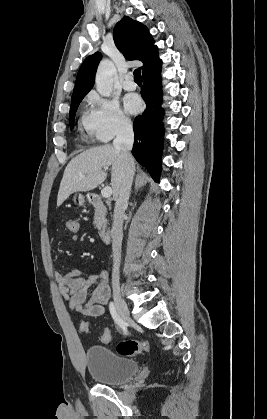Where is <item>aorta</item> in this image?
I'll return each mask as SVG.
<instances>
[{
  "label": "aorta",
  "mask_w": 267,
  "mask_h": 419,
  "mask_svg": "<svg viewBox=\"0 0 267 419\" xmlns=\"http://www.w3.org/2000/svg\"><path fill=\"white\" fill-rule=\"evenodd\" d=\"M116 68L112 61L104 59L100 62L96 72V89L100 95L109 97L113 90V77Z\"/></svg>",
  "instance_id": "obj_1"
}]
</instances>
